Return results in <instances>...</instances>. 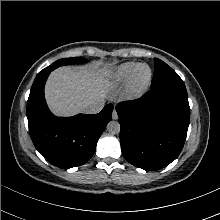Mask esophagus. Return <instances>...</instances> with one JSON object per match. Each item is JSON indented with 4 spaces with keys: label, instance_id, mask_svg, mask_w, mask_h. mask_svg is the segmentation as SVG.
Returning <instances> with one entry per match:
<instances>
[{
    "label": "esophagus",
    "instance_id": "obj_1",
    "mask_svg": "<svg viewBox=\"0 0 220 220\" xmlns=\"http://www.w3.org/2000/svg\"><path fill=\"white\" fill-rule=\"evenodd\" d=\"M112 119H113V120H117V119H118V114H117L115 108H114V110H113V112H112Z\"/></svg>",
    "mask_w": 220,
    "mask_h": 220
}]
</instances>
